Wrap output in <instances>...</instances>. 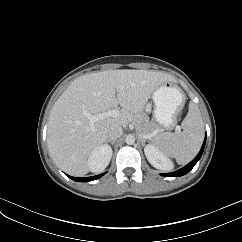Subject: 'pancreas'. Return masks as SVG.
Returning a JSON list of instances; mask_svg holds the SVG:
<instances>
[{"label": "pancreas", "mask_w": 242, "mask_h": 242, "mask_svg": "<svg viewBox=\"0 0 242 242\" xmlns=\"http://www.w3.org/2000/svg\"><path fill=\"white\" fill-rule=\"evenodd\" d=\"M136 131L140 136L143 135H154L155 132L159 131L158 126L154 122H150L146 116H141L139 119L134 121Z\"/></svg>", "instance_id": "pancreas-1"}]
</instances>
